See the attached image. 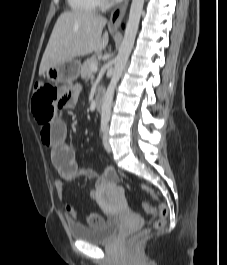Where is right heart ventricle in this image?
Returning a JSON list of instances; mask_svg holds the SVG:
<instances>
[{"label":"right heart ventricle","mask_w":227,"mask_h":265,"mask_svg":"<svg viewBox=\"0 0 227 265\" xmlns=\"http://www.w3.org/2000/svg\"><path fill=\"white\" fill-rule=\"evenodd\" d=\"M67 4L75 13H91L97 10L100 0H67Z\"/></svg>","instance_id":"1"}]
</instances>
